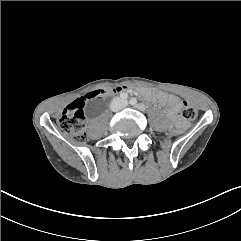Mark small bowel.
Listing matches in <instances>:
<instances>
[{"label": "small bowel", "mask_w": 241, "mask_h": 241, "mask_svg": "<svg viewBox=\"0 0 241 241\" xmlns=\"http://www.w3.org/2000/svg\"><path fill=\"white\" fill-rule=\"evenodd\" d=\"M117 88H119V90L115 92H119L120 90H122L120 87ZM143 94L148 100L156 101L161 105L166 106L167 114L170 118H175V116L178 114L182 107L181 100L175 95L167 94L164 92H154L150 90H144ZM176 123L179 126L182 125V122H180L179 120H177Z\"/></svg>", "instance_id": "obj_1"}]
</instances>
